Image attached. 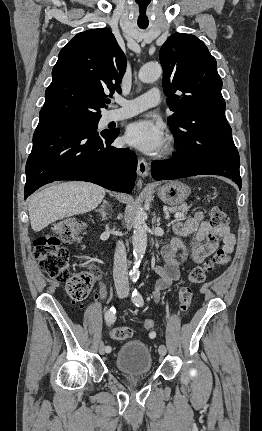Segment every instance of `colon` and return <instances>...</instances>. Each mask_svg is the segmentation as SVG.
Instances as JSON below:
<instances>
[{
	"mask_svg": "<svg viewBox=\"0 0 262 431\" xmlns=\"http://www.w3.org/2000/svg\"><path fill=\"white\" fill-rule=\"evenodd\" d=\"M210 223L213 227L226 226L228 216L220 208H213L210 214ZM81 225L76 220L68 219L58 222L49 232L39 235L34 241L33 254L38 260L45 275L54 281L66 282V289L75 302L83 301L89 295L93 285L91 272L71 273L69 268V256L63 243H75L79 239ZM228 255L224 250H218L212 259L202 265L194 267L188 277L189 283L201 284L217 266L224 265ZM85 264H88L86 262ZM190 285L182 286L178 291L179 307L182 312H187L192 299ZM155 323L152 319L144 322L145 330H152ZM113 340L121 341L132 335L131 328L127 326L112 328L109 332ZM154 337V336H152Z\"/></svg>",
	"mask_w": 262,
	"mask_h": 431,
	"instance_id": "colon-1",
	"label": "colon"
}]
</instances>
